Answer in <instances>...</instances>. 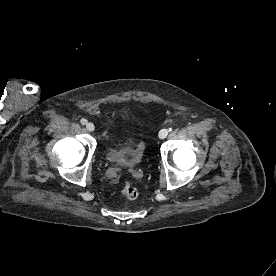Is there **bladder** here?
<instances>
[{
	"instance_id": "bladder-1",
	"label": "bladder",
	"mask_w": 276,
	"mask_h": 276,
	"mask_svg": "<svg viewBox=\"0 0 276 276\" xmlns=\"http://www.w3.org/2000/svg\"><path fill=\"white\" fill-rule=\"evenodd\" d=\"M144 148L141 143L124 142L118 147L111 148L107 154V159L125 168H134L142 160Z\"/></svg>"
}]
</instances>
